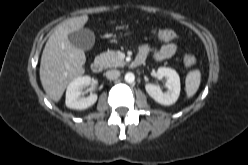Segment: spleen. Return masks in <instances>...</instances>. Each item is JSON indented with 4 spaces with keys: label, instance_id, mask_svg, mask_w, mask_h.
Returning a JSON list of instances; mask_svg holds the SVG:
<instances>
[{
    "label": "spleen",
    "instance_id": "3e777b00",
    "mask_svg": "<svg viewBox=\"0 0 248 165\" xmlns=\"http://www.w3.org/2000/svg\"><path fill=\"white\" fill-rule=\"evenodd\" d=\"M201 81V74L199 70L190 71L186 76V94L187 98H191L197 92Z\"/></svg>",
    "mask_w": 248,
    "mask_h": 165
}]
</instances>
